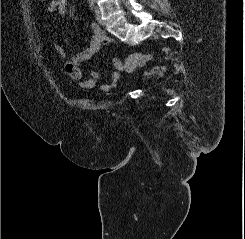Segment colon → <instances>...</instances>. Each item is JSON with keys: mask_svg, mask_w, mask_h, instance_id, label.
<instances>
[{"mask_svg": "<svg viewBox=\"0 0 245 239\" xmlns=\"http://www.w3.org/2000/svg\"><path fill=\"white\" fill-rule=\"evenodd\" d=\"M151 60L149 54H134L127 58L125 67L127 71H132L137 66H142Z\"/></svg>", "mask_w": 245, "mask_h": 239, "instance_id": "5ec220e1", "label": "colon"}]
</instances>
